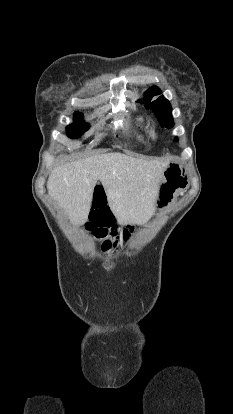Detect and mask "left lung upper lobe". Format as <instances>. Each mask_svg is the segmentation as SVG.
<instances>
[{
  "label": "left lung upper lobe",
  "instance_id": "obj_1",
  "mask_svg": "<svg viewBox=\"0 0 233 414\" xmlns=\"http://www.w3.org/2000/svg\"><path fill=\"white\" fill-rule=\"evenodd\" d=\"M159 94H161V90L157 86L150 87L145 92V98L147 100L145 106L147 109L151 108L153 110L156 117L158 118V121L163 127L170 129L174 126V124L172 117V108L169 101L163 96H160L157 100L150 102L152 97Z\"/></svg>",
  "mask_w": 233,
  "mask_h": 414
}]
</instances>
